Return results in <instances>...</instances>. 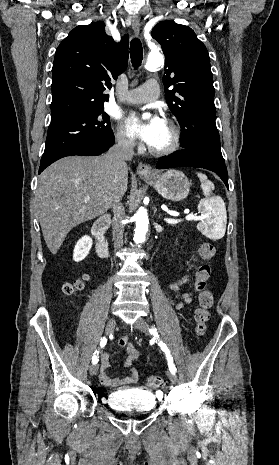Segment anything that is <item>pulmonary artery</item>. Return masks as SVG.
Here are the masks:
<instances>
[{
    "mask_svg": "<svg viewBox=\"0 0 279 465\" xmlns=\"http://www.w3.org/2000/svg\"><path fill=\"white\" fill-rule=\"evenodd\" d=\"M159 96V85L155 79L147 80L142 86L129 91L124 101L129 103H148Z\"/></svg>",
    "mask_w": 279,
    "mask_h": 465,
    "instance_id": "obj_1",
    "label": "pulmonary artery"
}]
</instances>
